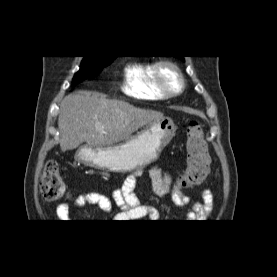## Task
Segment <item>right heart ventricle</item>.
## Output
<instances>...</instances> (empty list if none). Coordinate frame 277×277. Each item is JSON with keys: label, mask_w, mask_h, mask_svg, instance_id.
<instances>
[{"label": "right heart ventricle", "mask_w": 277, "mask_h": 277, "mask_svg": "<svg viewBox=\"0 0 277 277\" xmlns=\"http://www.w3.org/2000/svg\"><path fill=\"white\" fill-rule=\"evenodd\" d=\"M153 63L149 61L136 62L129 65L124 72L123 92L140 100H165L156 87Z\"/></svg>", "instance_id": "right-heart-ventricle-1"}]
</instances>
